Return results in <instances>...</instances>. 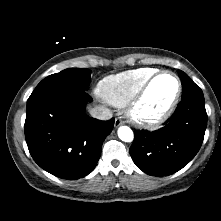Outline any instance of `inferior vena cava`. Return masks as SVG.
Masks as SVG:
<instances>
[{"label":"inferior vena cava","instance_id":"obj_1","mask_svg":"<svg viewBox=\"0 0 221 221\" xmlns=\"http://www.w3.org/2000/svg\"><path fill=\"white\" fill-rule=\"evenodd\" d=\"M90 114L92 117L99 120H109L112 118V112L103 106H96L92 108L90 110Z\"/></svg>","mask_w":221,"mask_h":221}]
</instances>
